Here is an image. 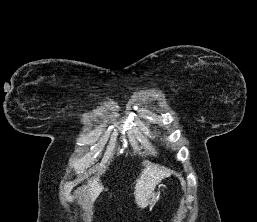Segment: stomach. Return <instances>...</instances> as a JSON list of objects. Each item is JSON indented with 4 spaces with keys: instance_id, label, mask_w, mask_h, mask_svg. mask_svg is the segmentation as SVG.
Here are the masks:
<instances>
[{
    "instance_id": "1",
    "label": "stomach",
    "mask_w": 257,
    "mask_h": 222,
    "mask_svg": "<svg viewBox=\"0 0 257 222\" xmlns=\"http://www.w3.org/2000/svg\"><path fill=\"white\" fill-rule=\"evenodd\" d=\"M159 196H160V191H153L148 198L146 206H149L150 208H152L155 205V203L158 201Z\"/></svg>"
}]
</instances>
